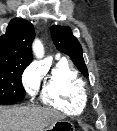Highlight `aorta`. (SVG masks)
I'll return each mask as SVG.
<instances>
[{
  "label": "aorta",
  "mask_w": 117,
  "mask_h": 131,
  "mask_svg": "<svg viewBox=\"0 0 117 131\" xmlns=\"http://www.w3.org/2000/svg\"><path fill=\"white\" fill-rule=\"evenodd\" d=\"M33 53L36 56V58H43L44 56V48L40 40L36 39L32 46Z\"/></svg>",
  "instance_id": "1"
}]
</instances>
